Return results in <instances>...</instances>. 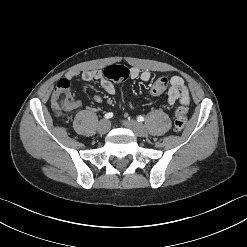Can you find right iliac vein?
Wrapping results in <instances>:
<instances>
[{"label": "right iliac vein", "mask_w": 247, "mask_h": 247, "mask_svg": "<svg viewBox=\"0 0 247 247\" xmlns=\"http://www.w3.org/2000/svg\"><path fill=\"white\" fill-rule=\"evenodd\" d=\"M110 129V122L107 119H102L97 125L99 134H106Z\"/></svg>", "instance_id": "63e3f726"}]
</instances>
